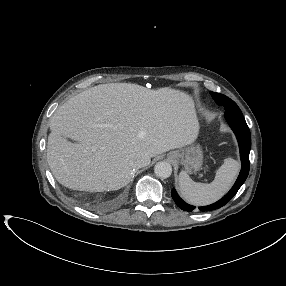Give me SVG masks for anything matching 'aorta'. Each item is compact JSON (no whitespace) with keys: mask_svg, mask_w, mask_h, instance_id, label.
I'll list each match as a JSON object with an SVG mask.
<instances>
[{"mask_svg":"<svg viewBox=\"0 0 286 286\" xmlns=\"http://www.w3.org/2000/svg\"><path fill=\"white\" fill-rule=\"evenodd\" d=\"M154 173L157 177L166 179L172 174V166L166 161H160L156 163Z\"/></svg>","mask_w":286,"mask_h":286,"instance_id":"obj_1","label":"aorta"}]
</instances>
